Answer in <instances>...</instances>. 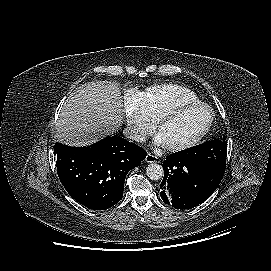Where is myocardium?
<instances>
[{"label":"myocardium","mask_w":271,"mask_h":271,"mask_svg":"<svg viewBox=\"0 0 271 271\" xmlns=\"http://www.w3.org/2000/svg\"><path fill=\"white\" fill-rule=\"evenodd\" d=\"M197 106H203L205 107L208 111H209V119L208 122L206 123V125L203 127V129L196 135L194 136L192 139L182 143V144H178V145H169L165 147L171 151V152H180V151H184L187 150L195 145H197L209 132L213 121H214V111L211 108L210 105H208L205 102H202L200 100H196V101H191V102H185V103H181L178 105H175L169 109L164 110L163 112H161L155 119V126L156 129L159 131L161 125L163 124L164 121Z\"/></svg>","instance_id":"obj_1"}]
</instances>
